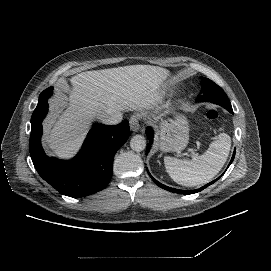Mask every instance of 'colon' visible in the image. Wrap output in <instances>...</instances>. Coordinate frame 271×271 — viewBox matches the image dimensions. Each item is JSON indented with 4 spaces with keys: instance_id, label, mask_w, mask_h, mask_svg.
<instances>
[{
    "instance_id": "colon-1",
    "label": "colon",
    "mask_w": 271,
    "mask_h": 271,
    "mask_svg": "<svg viewBox=\"0 0 271 271\" xmlns=\"http://www.w3.org/2000/svg\"><path fill=\"white\" fill-rule=\"evenodd\" d=\"M206 117L210 120H218L219 119V115H218L217 111H215V110H208L206 112Z\"/></svg>"
}]
</instances>
